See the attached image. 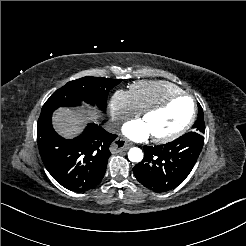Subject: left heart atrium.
<instances>
[{
	"mask_svg": "<svg viewBox=\"0 0 246 246\" xmlns=\"http://www.w3.org/2000/svg\"><path fill=\"white\" fill-rule=\"evenodd\" d=\"M122 133L134 141H144L150 136L145 124L139 120L126 122L122 127Z\"/></svg>",
	"mask_w": 246,
	"mask_h": 246,
	"instance_id": "39dd6f15",
	"label": "left heart atrium"
}]
</instances>
